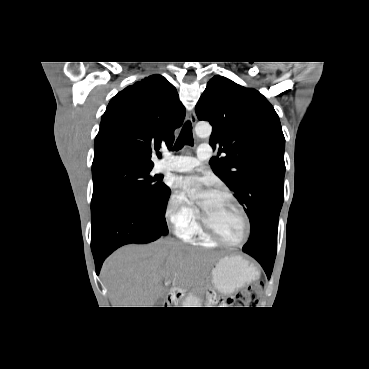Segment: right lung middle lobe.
<instances>
[{
	"mask_svg": "<svg viewBox=\"0 0 369 369\" xmlns=\"http://www.w3.org/2000/svg\"><path fill=\"white\" fill-rule=\"evenodd\" d=\"M153 166L131 162L92 165L93 196L91 214L105 201L114 197H127L139 204L153 207L158 222L167 229L164 206L171 190L160 180L162 175L151 176Z\"/></svg>",
	"mask_w": 369,
	"mask_h": 369,
	"instance_id": "dd1d6c3e",
	"label": "right lung middle lobe"
}]
</instances>
